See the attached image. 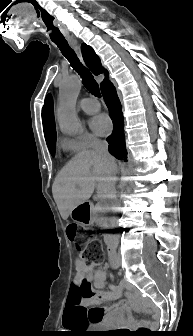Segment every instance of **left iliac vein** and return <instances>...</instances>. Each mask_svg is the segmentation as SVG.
<instances>
[{
	"label": "left iliac vein",
	"instance_id": "1",
	"mask_svg": "<svg viewBox=\"0 0 193 336\" xmlns=\"http://www.w3.org/2000/svg\"><path fill=\"white\" fill-rule=\"evenodd\" d=\"M118 263H120V258L118 259Z\"/></svg>",
	"mask_w": 193,
	"mask_h": 336
}]
</instances>
